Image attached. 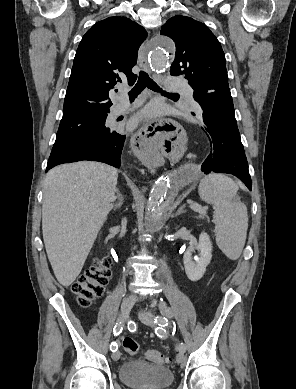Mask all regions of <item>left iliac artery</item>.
Wrapping results in <instances>:
<instances>
[{
    "label": "left iliac artery",
    "mask_w": 296,
    "mask_h": 389,
    "mask_svg": "<svg viewBox=\"0 0 296 389\" xmlns=\"http://www.w3.org/2000/svg\"><path fill=\"white\" fill-rule=\"evenodd\" d=\"M154 322L157 323V324L159 325V327L156 328L155 333H156L159 337H163V336H164L165 330H164L162 327H165V326L168 325V319L165 318V316H159V317L157 316V317L155 318V321H154ZM178 349H179L180 351L185 352V350H186L185 344H184L183 342H181V343L179 344Z\"/></svg>",
    "instance_id": "left-iliac-artery-1"
}]
</instances>
